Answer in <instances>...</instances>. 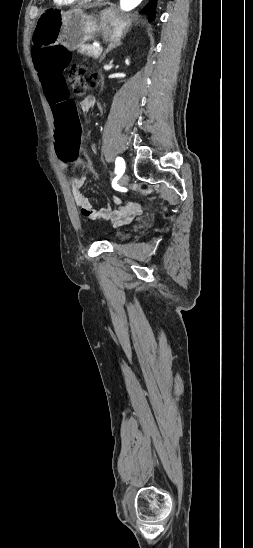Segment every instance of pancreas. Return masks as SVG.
I'll return each mask as SVG.
<instances>
[{
	"mask_svg": "<svg viewBox=\"0 0 253 548\" xmlns=\"http://www.w3.org/2000/svg\"><path fill=\"white\" fill-rule=\"evenodd\" d=\"M78 52L95 59H97L101 53V51L98 50V47L94 45H81L78 47Z\"/></svg>",
	"mask_w": 253,
	"mask_h": 548,
	"instance_id": "obj_1",
	"label": "pancreas"
}]
</instances>
